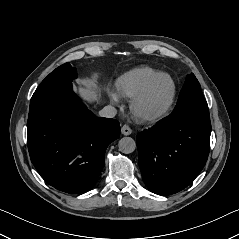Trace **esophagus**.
I'll list each match as a JSON object with an SVG mask.
<instances>
[{"label": "esophagus", "instance_id": "34e87169", "mask_svg": "<svg viewBox=\"0 0 239 239\" xmlns=\"http://www.w3.org/2000/svg\"><path fill=\"white\" fill-rule=\"evenodd\" d=\"M121 133L123 135H130L132 133V129L128 125H123L121 127Z\"/></svg>", "mask_w": 239, "mask_h": 239}]
</instances>
